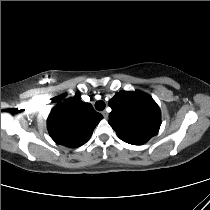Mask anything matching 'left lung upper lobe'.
<instances>
[{
	"mask_svg": "<svg viewBox=\"0 0 210 210\" xmlns=\"http://www.w3.org/2000/svg\"><path fill=\"white\" fill-rule=\"evenodd\" d=\"M109 106V124L124 142L141 145L158 133L160 110L149 95L121 91L109 101Z\"/></svg>",
	"mask_w": 210,
	"mask_h": 210,
	"instance_id": "left-lung-upper-lobe-1",
	"label": "left lung upper lobe"
}]
</instances>
